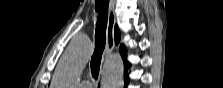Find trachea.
I'll use <instances>...</instances> for the list:
<instances>
[{"mask_svg": "<svg viewBox=\"0 0 223 88\" xmlns=\"http://www.w3.org/2000/svg\"><path fill=\"white\" fill-rule=\"evenodd\" d=\"M95 10L98 13V19L96 23L95 31V50L91 58V73L94 79H97L102 54L106 43V27H107V14L109 0H96Z\"/></svg>", "mask_w": 223, "mask_h": 88, "instance_id": "1", "label": "trachea"}]
</instances>
